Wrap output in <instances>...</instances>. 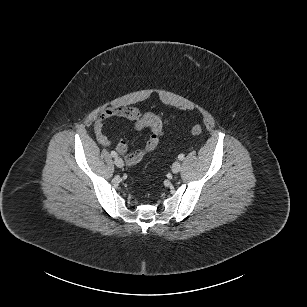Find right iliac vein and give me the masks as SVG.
Masks as SVG:
<instances>
[{
    "label": "right iliac vein",
    "instance_id": "63e3f726",
    "mask_svg": "<svg viewBox=\"0 0 307 307\" xmlns=\"http://www.w3.org/2000/svg\"><path fill=\"white\" fill-rule=\"evenodd\" d=\"M114 163L118 168H121L124 166V162L120 157H116L114 160Z\"/></svg>",
    "mask_w": 307,
    "mask_h": 307
}]
</instances>
